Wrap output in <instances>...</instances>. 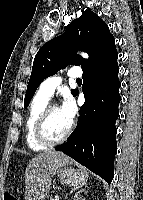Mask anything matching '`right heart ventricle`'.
I'll use <instances>...</instances> for the list:
<instances>
[{
    "label": "right heart ventricle",
    "mask_w": 143,
    "mask_h": 200,
    "mask_svg": "<svg viewBox=\"0 0 143 200\" xmlns=\"http://www.w3.org/2000/svg\"><path fill=\"white\" fill-rule=\"evenodd\" d=\"M48 102L49 98L38 91L32 99L27 113L25 121V139L28 147L34 151H41L46 148V146L40 144L35 139L34 127L37 119L39 118L41 112L48 104Z\"/></svg>",
    "instance_id": "e07e8e85"
}]
</instances>
